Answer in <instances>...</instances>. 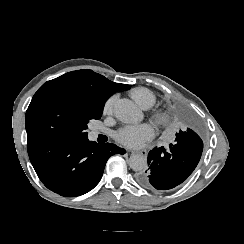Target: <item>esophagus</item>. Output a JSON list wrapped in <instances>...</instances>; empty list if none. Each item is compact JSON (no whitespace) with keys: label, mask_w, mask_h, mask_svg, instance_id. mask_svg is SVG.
I'll return each mask as SVG.
<instances>
[{"label":"esophagus","mask_w":244,"mask_h":244,"mask_svg":"<svg viewBox=\"0 0 244 244\" xmlns=\"http://www.w3.org/2000/svg\"><path fill=\"white\" fill-rule=\"evenodd\" d=\"M129 152L133 153V154H139L142 155L143 157H147L148 152L146 149H141V150H129Z\"/></svg>","instance_id":"obj_1"}]
</instances>
